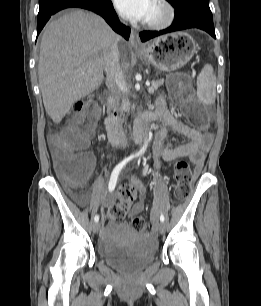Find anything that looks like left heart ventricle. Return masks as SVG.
<instances>
[{
	"label": "left heart ventricle",
	"mask_w": 261,
	"mask_h": 306,
	"mask_svg": "<svg viewBox=\"0 0 261 306\" xmlns=\"http://www.w3.org/2000/svg\"><path fill=\"white\" fill-rule=\"evenodd\" d=\"M159 15H160V9L157 6V4L155 2H153L151 10H150V12H149V14H148V16L145 20L155 19V18L159 17Z\"/></svg>",
	"instance_id": "obj_1"
}]
</instances>
